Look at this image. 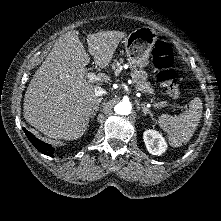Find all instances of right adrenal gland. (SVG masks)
Wrapping results in <instances>:
<instances>
[{"label":"right adrenal gland","mask_w":221,"mask_h":221,"mask_svg":"<svg viewBox=\"0 0 221 221\" xmlns=\"http://www.w3.org/2000/svg\"><path fill=\"white\" fill-rule=\"evenodd\" d=\"M103 98H99L96 100V106L92 112V115H91V118H94V116L96 115L97 111L99 110V105H100V102L102 101Z\"/></svg>","instance_id":"obj_1"}]
</instances>
